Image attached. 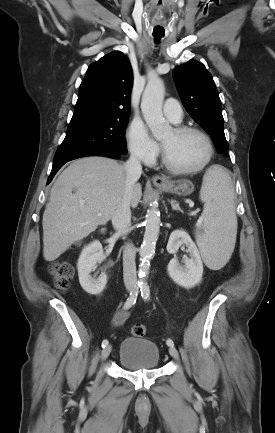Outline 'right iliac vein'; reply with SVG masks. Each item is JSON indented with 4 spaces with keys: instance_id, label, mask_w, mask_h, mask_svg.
<instances>
[{
    "instance_id": "right-iliac-vein-1",
    "label": "right iliac vein",
    "mask_w": 275,
    "mask_h": 433,
    "mask_svg": "<svg viewBox=\"0 0 275 433\" xmlns=\"http://www.w3.org/2000/svg\"><path fill=\"white\" fill-rule=\"evenodd\" d=\"M112 350V346L111 345H107L101 352V358L103 360H105L111 353Z\"/></svg>"
}]
</instances>
